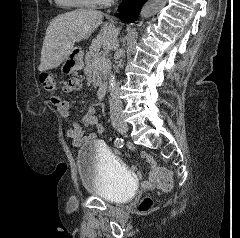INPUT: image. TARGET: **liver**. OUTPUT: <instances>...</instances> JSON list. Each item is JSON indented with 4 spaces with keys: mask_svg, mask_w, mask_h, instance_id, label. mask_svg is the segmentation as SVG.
Wrapping results in <instances>:
<instances>
[{
    "mask_svg": "<svg viewBox=\"0 0 240 238\" xmlns=\"http://www.w3.org/2000/svg\"><path fill=\"white\" fill-rule=\"evenodd\" d=\"M103 14L91 9H77L54 18L45 34L41 50L39 71L58 67L70 54L76 42L90 37L102 24ZM119 29L104 24L100 33L92 40L91 50H115L118 48Z\"/></svg>",
    "mask_w": 240,
    "mask_h": 238,
    "instance_id": "liver-1",
    "label": "liver"
}]
</instances>
